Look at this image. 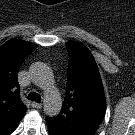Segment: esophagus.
<instances>
[{"label": "esophagus", "instance_id": "esophagus-1", "mask_svg": "<svg viewBox=\"0 0 135 135\" xmlns=\"http://www.w3.org/2000/svg\"><path fill=\"white\" fill-rule=\"evenodd\" d=\"M31 106H32L33 108H41V107H42V104L36 103V102H32V103H31Z\"/></svg>", "mask_w": 135, "mask_h": 135}]
</instances>
